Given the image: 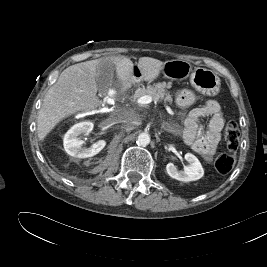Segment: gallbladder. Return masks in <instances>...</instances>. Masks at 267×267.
<instances>
[{"mask_svg":"<svg viewBox=\"0 0 267 267\" xmlns=\"http://www.w3.org/2000/svg\"><path fill=\"white\" fill-rule=\"evenodd\" d=\"M112 66L109 65L107 62L103 64V67L101 71L103 72L102 75L97 79L98 85L102 89H106L110 86L112 82V77H111V70Z\"/></svg>","mask_w":267,"mask_h":267,"instance_id":"bac80fb5","label":"gallbladder"}]
</instances>
